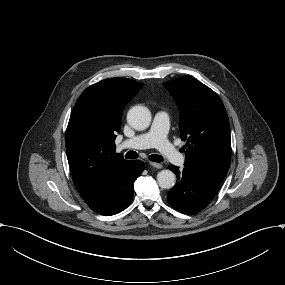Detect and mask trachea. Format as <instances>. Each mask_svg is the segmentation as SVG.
<instances>
[{
    "instance_id": "3493384b",
    "label": "trachea",
    "mask_w": 285,
    "mask_h": 285,
    "mask_svg": "<svg viewBox=\"0 0 285 285\" xmlns=\"http://www.w3.org/2000/svg\"><path fill=\"white\" fill-rule=\"evenodd\" d=\"M126 159H137L138 158V153H136L135 151H128L125 155ZM148 159L150 161L156 162V163H160L163 161V157L161 155L158 154H152L150 156H148Z\"/></svg>"
}]
</instances>
